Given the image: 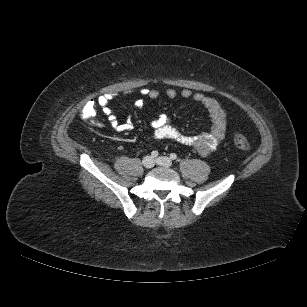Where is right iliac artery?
<instances>
[{
  "mask_svg": "<svg viewBox=\"0 0 307 307\" xmlns=\"http://www.w3.org/2000/svg\"><path fill=\"white\" fill-rule=\"evenodd\" d=\"M158 154H159L158 151H152L151 152V157L152 158H156L158 156Z\"/></svg>",
  "mask_w": 307,
  "mask_h": 307,
  "instance_id": "right-iliac-artery-1",
  "label": "right iliac artery"
}]
</instances>
